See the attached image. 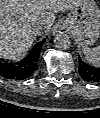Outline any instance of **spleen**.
<instances>
[{"label":"spleen","mask_w":100,"mask_h":118,"mask_svg":"<svg viewBox=\"0 0 100 118\" xmlns=\"http://www.w3.org/2000/svg\"><path fill=\"white\" fill-rule=\"evenodd\" d=\"M82 51L86 60L93 66L98 67L100 65V48H90L87 45H82Z\"/></svg>","instance_id":"obj_1"}]
</instances>
